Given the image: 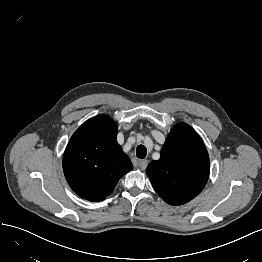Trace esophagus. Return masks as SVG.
<instances>
[{"label": "esophagus", "mask_w": 262, "mask_h": 262, "mask_svg": "<svg viewBox=\"0 0 262 262\" xmlns=\"http://www.w3.org/2000/svg\"><path fill=\"white\" fill-rule=\"evenodd\" d=\"M147 165H148L147 160H138L137 161V166L142 170L146 169Z\"/></svg>", "instance_id": "1"}]
</instances>
